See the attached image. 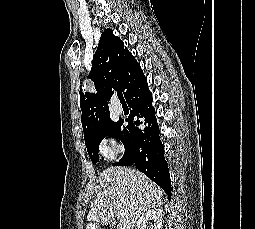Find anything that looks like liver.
<instances>
[{
	"label": "liver",
	"instance_id": "6515ba94",
	"mask_svg": "<svg viewBox=\"0 0 255 229\" xmlns=\"http://www.w3.org/2000/svg\"><path fill=\"white\" fill-rule=\"evenodd\" d=\"M98 182L102 189L91 204L88 222L108 225L122 210L117 229H133L141 214L162 204V190L138 170L110 167L100 173Z\"/></svg>",
	"mask_w": 255,
	"mask_h": 229
}]
</instances>
